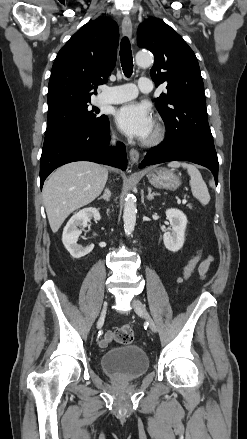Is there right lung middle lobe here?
<instances>
[{"instance_id":"right-lung-middle-lobe-1","label":"right lung middle lobe","mask_w":247,"mask_h":439,"mask_svg":"<svg viewBox=\"0 0 247 439\" xmlns=\"http://www.w3.org/2000/svg\"><path fill=\"white\" fill-rule=\"evenodd\" d=\"M106 120L97 108L91 107L90 100L65 102L48 110L45 139L72 130L96 128Z\"/></svg>"}]
</instances>
